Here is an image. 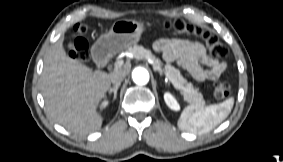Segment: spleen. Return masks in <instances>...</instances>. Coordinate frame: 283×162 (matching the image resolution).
<instances>
[{
  "label": "spleen",
  "instance_id": "1",
  "mask_svg": "<svg viewBox=\"0 0 283 162\" xmlns=\"http://www.w3.org/2000/svg\"><path fill=\"white\" fill-rule=\"evenodd\" d=\"M233 105V97L207 107L195 104L188 105L183 109L178 119V127L183 131L194 134L207 133L228 117Z\"/></svg>",
  "mask_w": 283,
  "mask_h": 162
}]
</instances>
